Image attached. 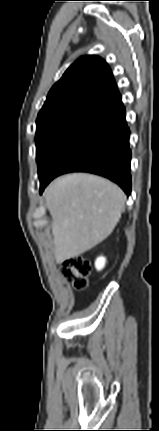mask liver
Returning a JSON list of instances; mask_svg holds the SVG:
<instances>
[{
    "label": "liver",
    "mask_w": 159,
    "mask_h": 431,
    "mask_svg": "<svg viewBox=\"0 0 159 431\" xmlns=\"http://www.w3.org/2000/svg\"><path fill=\"white\" fill-rule=\"evenodd\" d=\"M57 264L105 240L121 218L124 192L111 181L84 173L59 177L46 188Z\"/></svg>",
    "instance_id": "obj_1"
}]
</instances>
